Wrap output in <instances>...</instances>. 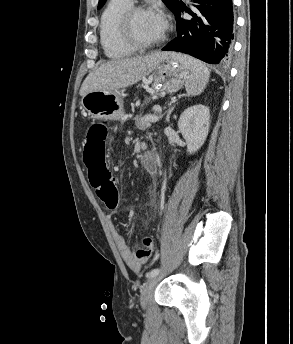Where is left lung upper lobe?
<instances>
[{
	"label": "left lung upper lobe",
	"mask_w": 293,
	"mask_h": 344,
	"mask_svg": "<svg viewBox=\"0 0 293 344\" xmlns=\"http://www.w3.org/2000/svg\"><path fill=\"white\" fill-rule=\"evenodd\" d=\"M106 0H99L98 9L102 8ZM165 5L173 11L178 4V0H162Z\"/></svg>",
	"instance_id": "5c2ea615"
}]
</instances>
